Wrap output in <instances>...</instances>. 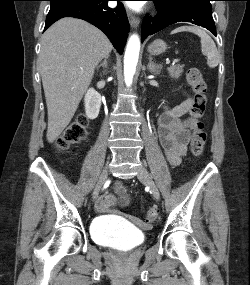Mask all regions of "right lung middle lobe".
Returning a JSON list of instances; mask_svg holds the SVG:
<instances>
[{
  "label": "right lung middle lobe",
  "instance_id": "dd1d6c3e",
  "mask_svg": "<svg viewBox=\"0 0 250 285\" xmlns=\"http://www.w3.org/2000/svg\"><path fill=\"white\" fill-rule=\"evenodd\" d=\"M49 1H51L50 9H56L69 4L84 3L90 0H49Z\"/></svg>",
  "mask_w": 250,
  "mask_h": 285
}]
</instances>
